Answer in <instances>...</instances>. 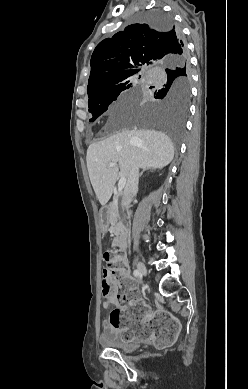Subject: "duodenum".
Masks as SVG:
<instances>
[{
	"mask_svg": "<svg viewBox=\"0 0 248 389\" xmlns=\"http://www.w3.org/2000/svg\"><path fill=\"white\" fill-rule=\"evenodd\" d=\"M118 248L124 252L127 248V241H126V235L124 233H121L117 240Z\"/></svg>",
	"mask_w": 248,
	"mask_h": 389,
	"instance_id": "obj_1",
	"label": "duodenum"
}]
</instances>
